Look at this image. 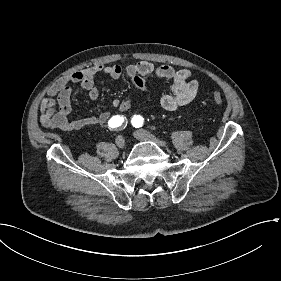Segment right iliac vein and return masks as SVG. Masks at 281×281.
<instances>
[{
	"label": "right iliac vein",
	"mask_w": 281,
	"mask_h": 281,
	"mask_svg": "<svg viewBox=\"0 0 281 281\" xmlns=\"http://www.w3.org/2000/svg\"><path fill=\"white\" fill-rule=\"evenodd\" d=\"M115 143L121 149H123L125 146V140L122 136H117L115 139Z\"/></svg>",
	"instance_id": "63e3f726"
}]
</instances>
